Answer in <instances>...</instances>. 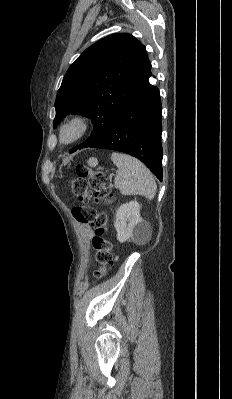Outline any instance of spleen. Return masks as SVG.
<instances>
[{"label": "spleen", "mask_w": 232, "mask_h": 399, "mask_svg": "<svg viewBox=\"0 0 232 399\" xmlns=\"http://www.w3.org/2000/svg\"><path fill=\"white\" fill-rule=\"evenodd\" d=\"M111 160L118 170L115 178V188L123 196H145L152 200L156 194L157 184L150 170L132 156L113 152Z\"/></svg>", "instance_id": "spleen-1"}]
</instances>
